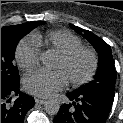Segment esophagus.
<instances>
[{
  "label": "esophagus",
  "mask_w": 123,
  "mask_h": 123,
  "mask_svg": "<svg viewBox=\"0 0 123 123\" xmlns=\"http://www.w3.org/2000/svg\"><path fill=\"white\" fill-rule=\"evenodd\" d=\"M35 102H36L37 104H44V103L46 102V100H44V99H39V98H35Z\"/></svg>",
  "instance_id": "34e87169"
}]
</instances>
